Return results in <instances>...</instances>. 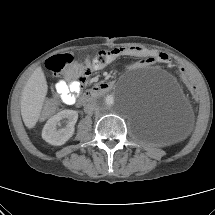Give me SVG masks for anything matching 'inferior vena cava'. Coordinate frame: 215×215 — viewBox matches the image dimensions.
Listing matches in <instances>:
<instances>
[{
	"label": "inferior vena cava",
	"instance_id": "602c4592",
	"mask_svg": "<svg viewBox=\"0 0 215 215\" xmlns=\"http://www.w3.org/2000/svg\"><path fill=\"white\" fill-rule=\"evenodd\" d=\"M97 103L96 102H92V103H88L85 105L84 107V111L88 114H91L93 111H95L97 109Z\"/></svg>",
	"mask_w": 215,
	"mask_h": 215
}]
</instances>
